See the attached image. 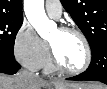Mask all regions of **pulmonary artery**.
<instances>
[{
	"label": "pulmonary artery",
	"instance_id": "obj_1",
	"mask_svg": "<svg viewBox=\"0 0 107 89\" xmlns=\"http://www.w3.org/2000/svg\"><path fill=\"white\" fill-rule=\"evenodd\" d=\"M45 10L52 18H59L62 14V6L58 0H46Z\"/></svg>",
	"mask_w": 107,
	"mask_h": 89
}]
</instances>
